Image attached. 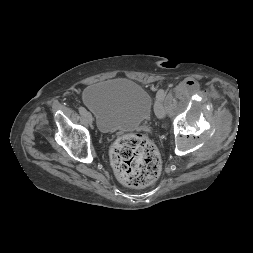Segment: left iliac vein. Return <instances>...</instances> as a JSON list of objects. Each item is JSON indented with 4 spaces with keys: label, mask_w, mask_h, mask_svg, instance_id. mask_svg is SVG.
Listing matches in <instances>:
<instances>
[{
    "label": "left iliac vein",
    "mask_w": 253,
    "mask_h": 253,
    "mask_svg": "<svg viewBox=\"0 0 253 253\" xmlns=\"http://www.w3.org/2000/svg\"><path fill=\"white\" fill-rule=\"evenodd\" d=\"M154 112L155 115L159 118V119H163L165 116V109L164 106L162 104L161 100H157L155 105H154Z\"/></svg>",
    "instance_id": "obj_1"
}]
</instances>
